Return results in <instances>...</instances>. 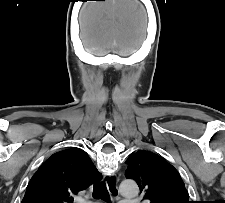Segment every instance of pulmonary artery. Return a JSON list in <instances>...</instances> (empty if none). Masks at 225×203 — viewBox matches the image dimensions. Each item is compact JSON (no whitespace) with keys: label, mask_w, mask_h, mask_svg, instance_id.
Masks as SVG:
<instances>
[{"label":"pulmonary artery","mask_w":225,"mask_h":203,"mask_svg":"<svg viewBox=\"0 0 225 203\" xmlns=\"http://www.w3.org/2000/svg\"><path fill=\"white\" fill-rule=\"evenodd\" d=\"M121 203H137V201L126 199V200H122Z\"/></svg>","instance_id":"1"}]
</instances>
